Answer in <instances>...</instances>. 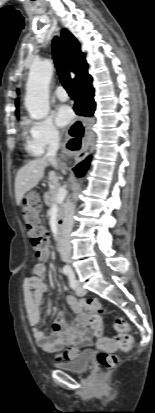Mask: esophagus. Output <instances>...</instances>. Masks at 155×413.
I'll use <instances>...</instances> for the list:
<instances>
[{"instance_id":"obj_1","label":"esophagus","mask_w":155,"mask_h":413,"mask_svg":"<svg viewBox=\"0 0 155 413\" xmlns=\"http://www.w3.org/2000/svg\"><path fill=\"white\" fill-rule=\"evenodd\" d=\"M92 150H93V147L90 146V145L88 144V142H86V143L84 144L83 149H82V150L79 152V154H77V156L75 157L76 162H80V161H82L83 159H85V158L92 152Z\"/></svg>"}]
</instances>
